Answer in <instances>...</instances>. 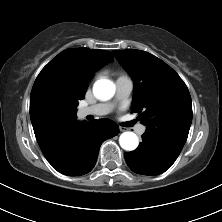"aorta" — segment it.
<instances>
[{"label": "aorta", "instance_id": "762f6f07", "mask_svg": "<svg viewBox=\"0 0 222 222\" xmlns=\"http://www.w3.org/2000/svg\"><path fill=\"white\" fill-rule=\"evenodd\" d=\"M94 96L100 100H108L115 94V85L107 79L97 80L93 85ZM120 146L127 151H133L137 148L138 137L133 132H124L119 138Z\"/></svg>", "mask_w": 222, "mask_h": 222}]
</instances>
